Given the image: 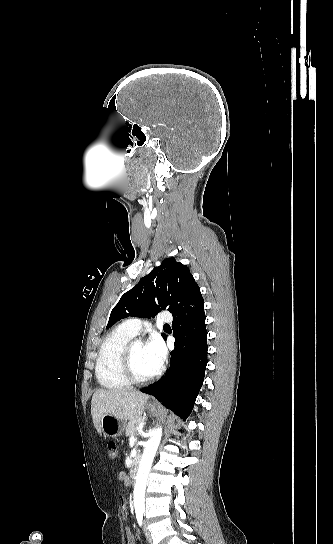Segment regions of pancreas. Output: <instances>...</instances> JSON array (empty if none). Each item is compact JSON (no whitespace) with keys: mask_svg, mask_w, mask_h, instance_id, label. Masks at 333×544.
Segmentation results:
<instances>
[{"mask_svg":"<svg viewBox=\"0 0 333 544\" xmlns=\"http://www.w3.org/2000/svg\"><path fill=\"white\" fill-rule=\"evenodd\" d=\"M144 421V417H139L136 420L129 422L126 428V436L132 437L138 433V426Z\"/></svg>","mask_w":333,"mask_h":544,"instance_id":"pancreas-1","label":"pancreas"}]
</instances>
